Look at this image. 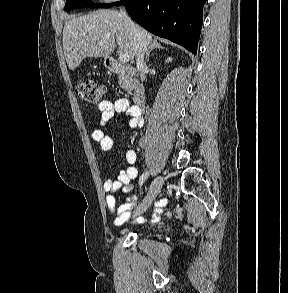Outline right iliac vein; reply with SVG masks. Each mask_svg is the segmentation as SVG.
I'll return each instance as SVG.
<instances>
[{
    "instance_id": "63e3f726",
    "label": "right iliac vein",
    "mask_w": 288,
    "mask_h": 293,
    "mask_svg": "<svg viewBox=\"0 0 288 293\" xmlns=\"http://www.w3.org/2000/svg\"><path fill=\"white\" fill-rule=\"evenodd\" d=\"M163 183L164 178L162 176H158L154 179L146 198L144 199L142 205L135 211L134 216L141 215L147 210V208L152 204L157 194L159 193Z\"/></svg>"
}]
</instances>
